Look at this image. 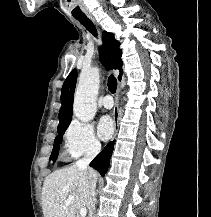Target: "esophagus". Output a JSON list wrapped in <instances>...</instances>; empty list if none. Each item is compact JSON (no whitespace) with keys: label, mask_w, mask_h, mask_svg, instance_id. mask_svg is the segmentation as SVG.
Returning a JSON list of instances; mask_svg holds the SVG:
<instances>
[{"label":"esophagus","mask_w":211,"mask_h":217,"mask_svg":"<svg viewBox=\"0 0 211 217\" xmlns=\"http://www.w3.org/2000/svg\"><path fill=\"white\" fill-rule=\"evenodd\" d=\"M88 17L95 22V19L92 15H88ZM119 88L117 90L116 96H115V107L113 110V119H114V124H115V132H117V127H118V118H119V111H118V106H119Z\"/></svg>","instance_id":"obj_1"}]
</instances>
